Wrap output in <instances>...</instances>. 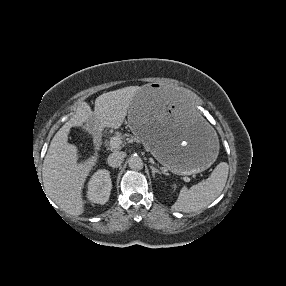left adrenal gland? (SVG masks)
<instances>
[{
  "label": "left adrenal gland",
  "mask_w": 286,
  "mask_h": 286,
  "mask_svg": "<svg viewBox=\"0 0 286 286\" xmlns=\"http://www.w3.org/2000/svg\"><path fill=\"white\" fill-rule=\"evenodd\" d=\"M150 168H151V170H152V176H153V178H155V174H156V173L161 175V172H160L157 168H155L153 165H151Z\"/></svg>",
  "instance_id": "left-adrenal-gland-1"
}]
</instances>
